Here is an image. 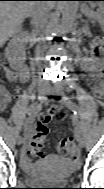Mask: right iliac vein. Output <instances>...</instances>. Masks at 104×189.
Masks as SVG:
<instances>
[{
  "label": "right iliac vein",
  "mask_w": 104,
  "mask_h": 189,
  "mask_svg": "<svg viewBox=\"0 0 104 189\" xmlns=\"http://www.w3.org/2000/svg\"><path fill=\"white\" fill-rule=\"evenodd\" d=\"M49 93V90H41L39 91V99L42 100V99H45V96ZM17 144L18 145H22L23 144V139L22 137H17V140H16Z\"/></svg>",
  "instance_id": "right-iliac-vein-1"
}]
</instances>
